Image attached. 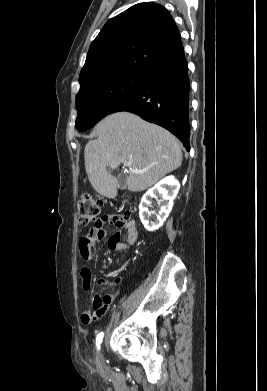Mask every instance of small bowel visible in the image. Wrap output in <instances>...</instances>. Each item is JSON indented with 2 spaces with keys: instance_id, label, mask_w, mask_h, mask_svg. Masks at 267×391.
Instances as JSON below:
<instances>
[{
  "instance_id": "1",
  "label": "small bowel",
  "mask_w": 267,
  "mask_h": 391,
  "mask_svg": "<svg viewBox=\"0 0 267 391\" xmlns=\"http://www.w3.org/2000/svg\"><path fill=\"white\" fill-rule=\"evenodd\" d=\"M117 217H118L117 215H104L101 218L100 222L96 223L95 227L92 228L91 231L86 235L90 239V247L87 254H84L80 250V254L83 260L86 261L90 259L93 245L98 240L102 239L105 236L106 231L104 229V226L106 224H113L117 228H124L126 231V243H122L120 241L119 232H115L110 236L108 241V246L110 249L127 252L129 248L137 242L138 231H137L136 223L133 220H126L123 223H120ZM81 276L83 279L84 289L86 290L90 289L92 285V277L89 269L83 268ZM118 281L119 278L116 277L113 281V284H116ZM98 282L106 283V280L100 279ZM114 297H115L114 293H109L104 296H100L98 294L94 295L92 301V307L89 310H86L82 314L81 321L84 324H87L101 318L106 312V310L108 309L111 302L113 301Z\"/></svg>"
}]
</instances>
